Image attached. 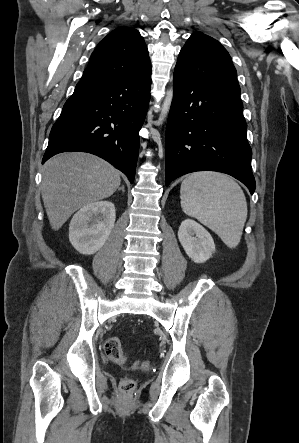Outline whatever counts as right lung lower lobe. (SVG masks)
<instances>
[{
  "instance_id": "98d812e1",
  "label": "right lung lower lobe",
  "mask_w": 299,
  "mask_h": 443,
  "mask_svg": "<svg viewBox=\"0 0 299 443\" xmlns=\"http://www.w3.org/2000/svg\"><path fill=\"white\" fill-rule=\"evenodd\" d=\"M150 88L151 73L78 82L51 129L42 163L61 152H88L113 164L133 183Z\"/></svg>"
}]
</instances>
